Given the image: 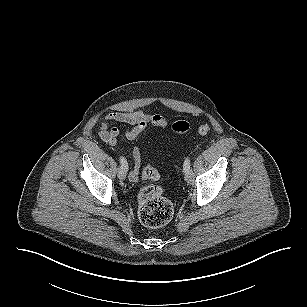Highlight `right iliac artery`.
Here are the masks:
<instances>
[{
  "label": "right iliac artery",
  "instance_id": "1",
  "mask_svg": "<svg viewBox=\"0 0 307 307\" xmlns=\"http://www.w3.org/2000/svg\"><path fill=\"white\" fill-rule=\"evenodd\" d=\"M120 163H121V168L124 169L125 171H127L128 169V163L127 161L125 160L124 157L120 156Z\"/></svg>",
  "mask_w": 307,
  "mask_h": 307
}]
</instances>
